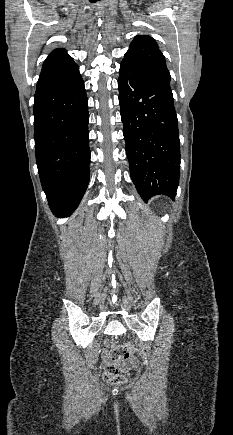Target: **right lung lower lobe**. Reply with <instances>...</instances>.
<instances>
[{"mask_svg":"<svg viewBox=\"0 0 233 435\" xmlns=\"http://www.w3.org/2000/svg\"><path fill=\"white\" fill-rule=\"evenodd\" d=\"M88 99L80 73L35 94V154L51 210L71 214L90 180Z\"/></svg>","mask_w":233,"mask_h":435,"instance_id":"98d812e1","label":"right lung lower lobe"}]
</instances>
